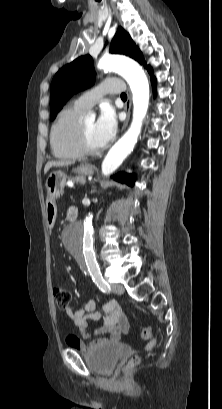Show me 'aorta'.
I'll list each match as a JSON object with an SVG mask.
<instances>
[{
    "instance_id": "aorta-1",
    "label": "aorta",
    "mask_w": 222,
    "mask_h": 409,
    "mask_svg": "<svg viewBox=\"0 0 222 409\" xmlns=\"http://www.w3.org/2000/svg\"><path fill=\"white\" fill-rule=\"evenodd\" d=\"M98 68L104 71H114L121 75L130 86L133 100V119L130 128L112 146L102 162V174L109 176L123 163L137 143L149 105V84L139 64L126 57L103 56L98 62ZM66 235L68 238L67 248L70 253L84 261L88 270H97L91 218L71 225L67 229Z\"/></svg>"
}]
</instances>
